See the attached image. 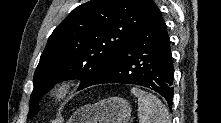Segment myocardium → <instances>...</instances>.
<instances>
[{
    "label": "myocardium",
    "instance_id": "f54148a6",
    "mask_svg": "<svg viewBox=\"0 0 221 123\" xmlns=\"http://www.w3.org/2000/svg\"><path fill=\"white\" fill-rule=\"evenodd\" d=\"M73 93V84L69 80H62L54 84L48 91V98L52 103L59 104Z\"/></svg>",
    "mask_w": 221,
    "mask_h": 123
}]
</instances>
